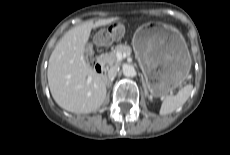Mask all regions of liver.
Wrapping results in <instances>:
<instances>
[{
  "mask_svg": "<svg viewBox=\"0 0 230 155\" xmlns=\"http://www.w3.org/2000/svg\"><path fill=\"white\" fill-rule=\"evenodd\" d=\"M118 17L88 20L70 29L56 44L47 70L48 85L55 102L63 109L81 114L96 111L106 97V79L85 60L91 30L108 25Z\"/></svg>",
  "mask_w": 230,
  "mask_h": 155,
  "instance_id": "obj_1",
  "label": "liver"
}]
</instances>
